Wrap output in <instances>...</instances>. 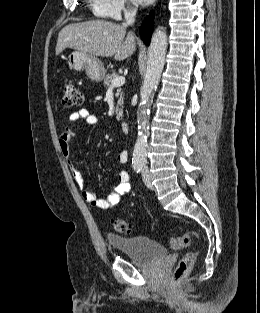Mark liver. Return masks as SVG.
Wrapping results in <instances>:
<instances>
[{"label": "liver", "instance_id": "liver-1", "mask_svg": "<svg viewBox=\"0 0 260 313\" xmlns=\"http://www.w3.org/2000/svg\"><path fill=\"white\" fill-rule=\"evenodd\" d=\"M126 26L106 20H93L65 26L58 35L56 55L65 48L121 61L136 50L135 36Z\"/></svg>", "mask_w": 260, "mask_h": 313}]
</instances>
